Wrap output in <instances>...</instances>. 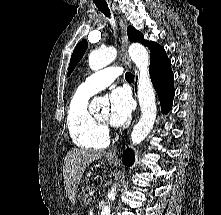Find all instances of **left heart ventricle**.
<instances>
[{
  "instance_id": "left-heart-ventricle-1",
  "label": "left heart ventricle",
  "mask_w": 221,
  "mask_h": 215,
  "mask_svg": "<svg viewBox=\"0 0 221 215\" xmlns=\"http://www.w3.org/2000/svg\"><path fill=\"white\" fill-rule=\"evenodd\" d=\"M98 118L101 119V120H106V118H107V113L101 114Z\"/></svg>"
}]
</instances>
